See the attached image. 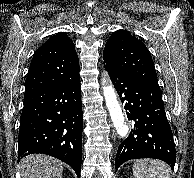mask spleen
Wrapping results in <instances>:
<instances>
[{
    "label": "spleen",
    "mask_w": 194,
    "mask_h": 178,
    "mask_svg": "<svg viewBox=\"0 0 194 178\" xmlns=\"http://www.w3.org/2000/svg\"><path fill=\"white\" fill-rule=\"evenodd\" d=\"M135 178H172L171 169L156 159H138L133 164Z\"/></svg>",
    "instance_id": "3e777b00"
}]
</instances>
